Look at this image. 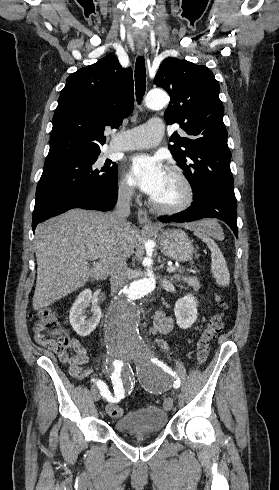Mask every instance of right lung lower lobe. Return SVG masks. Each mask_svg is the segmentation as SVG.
Segmentation results:
<instances>
[{
  "label": "right lung lower lobe",
  "mask_w": 279,
  "mask_h": 490,
  "mask_svg": "<svg viewBox=\"0 0 279 490\" xmlns=\"http://www.w3.org/2000/svg\"><path fill=\"white\" fill-rule=\"evenodd\" d=\"M118 195V185L106 188L49 189L36 195L32 228L50 217L69 209L82 208L99 211L111 210Z\"/></svg>",
  "instance_id": "1"
}]
</instances>
